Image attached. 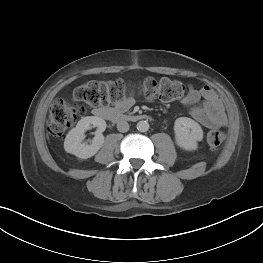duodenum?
<instances>
[{
    "label": "duodenum",
    "instance_id": "obj_1",
    "mask_svg": "<svg viewBox=\"0 0 263 263\" xmlns=\"http://www.w3.org/2000/svg\"><path fill=\"white\" fill-rule=\"evenodd\" d=\"M94 113L96 116L112 122H124V121L136 122L147 118L146 115L123 114L120 110L112 109V108H99L96 109Z\"/></svg>",
    "mask_w": 263,
    "mask_h": 263
}]
</instances>
